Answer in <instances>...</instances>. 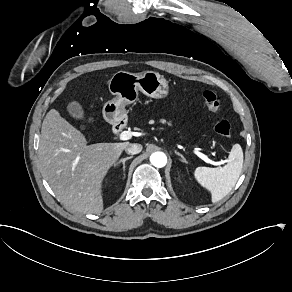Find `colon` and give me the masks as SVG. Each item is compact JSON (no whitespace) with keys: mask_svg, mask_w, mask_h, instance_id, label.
<instances>
[{"mask_svg":"<svg viewBox=\"0 0 292 292\" xmlns=\"http://www.w3.org/2000/svg\"><path fill=\"white\" fill-rule=\"evenodd\" d=\"M202 99L205 106L217 119L215 125L216 132L220 136L228 138L231 135V125L227 120L221 118L223 110L218 95L211 90H205L202 92ZM86 137L88 139H92L94 134L92 132H88Z\"/></svg>","mask_w":292,"mask_h":292,"instance_id":"5ec220e1","label":"colon"}]
</instances>
